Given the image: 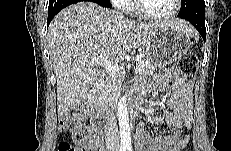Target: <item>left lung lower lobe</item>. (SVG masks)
I'll return each instance as SVG.
<instances>
[{"instance_id":"obj_1","label":"left lung lower lobe","mask_w":231,"mask_h":151,"mask_svg":"<svg viewBox=\"0 0 231 151\" xmlns=\"http://www.w3.org/2000/svg\"><path fill=\"white\" fill-rule=\"evenodd\" d=\"M178 17L189 21L199 31L204 42L206 41L204 0H192L180 10Z\"/></svg>"}]
</instances>
